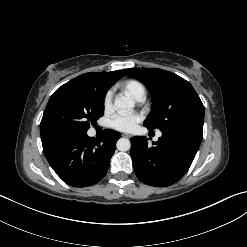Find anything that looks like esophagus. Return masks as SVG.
Masks as SVG:
<instances>
[{
	"label": "esophagus",
	"mask_w": 247,
	"mask_h": 247,
	"mask_svg": "<svg viewBox=\"0 0 247 247\" xmlns=\"http://www.w3.org/2000/svg\"><path fill=\"white\" fill-rule=\"evenodd\" d=\"M122 136L126 137V138H130L131 137L129 134H126V133H123Z\"/></svg>",
	"instance_id": "obj_1"
}]
</instances>
